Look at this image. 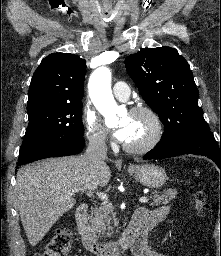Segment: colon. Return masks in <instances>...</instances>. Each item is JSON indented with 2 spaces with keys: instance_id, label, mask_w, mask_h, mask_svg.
Here are the masks:
<instances>
[{
  "instance_id": "obj_1",
  "label": "colon",
  "mask_w": 221,
  "mask_h": 256,
  "mask_svg": "<svg viewBox=\"0 0 221 256\" xmlns=\"http://www.w3.org/2000/svg\"><path fill=\"white\" fill-rule=\"evenodd\" d=\"M194 204L199 214L205 212V198L201 191L196 192ZM71 246L72 235L70 230L60 229L44 244L43 248L35 256H67Z\"/></svg>"
}]
</instances>
